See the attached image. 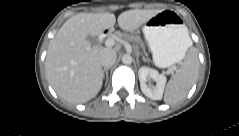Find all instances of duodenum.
Returning a JSON list of instances; mask_svg holds the SVG:
<instances>
[{"mask_svg": "<svg viewBox=\"0 0 239 136\" xmlns=\"http://www.w3.org/2000/svg\"><path fill=\"white\" fill-rule=\"evenodd\" d=\"M104 37H105V35L104 34H101L100 36H99V43H101L102 42V40L104 39Z\"/></svg>", "mask_w": 239, "mask_h": 136, "instance_id": "1", "label": "duodenum"}]
</instances>
